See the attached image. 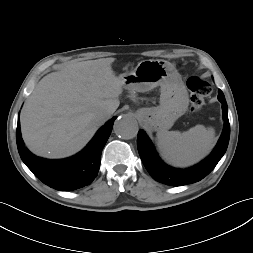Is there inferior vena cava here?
Here are the masks:
<instances>
[{
  "label": "inferior vena cava",
  "instance_id": "inferior-vena-cava-1",
  "mask_svg": "<svg viewBox=\"0 0 253 253\" xmlns=\"http://www.w3.org/2000/svg\"><path fill=\"white\" fill-rule=\"evenodd\" d=\"M111 116V113L108 111H100L98 113L95 114L94 118L95 121L102 125L107 119H109Z\"/></svg>",
  "mask_w": 253,
  "mask_h": 253
}]
</instances>
